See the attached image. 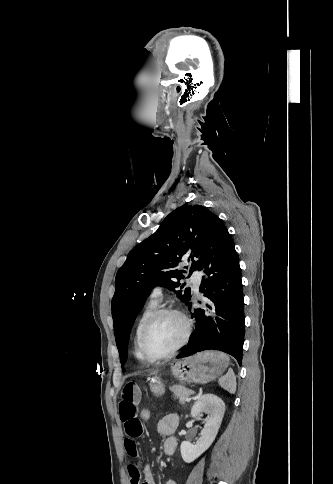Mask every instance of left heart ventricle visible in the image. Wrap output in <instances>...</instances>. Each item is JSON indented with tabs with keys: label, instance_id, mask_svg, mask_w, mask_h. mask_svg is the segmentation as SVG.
Instances as JSON below:
<instances>
[{
	"label": "left heart ventricle",
	"instance_id": "obj_1",
	"mask_svg": "<svg viewBox=\"0 0 333 484\" xmlns=\"http://www.w3.org/2000/svg\"><path fill=\"white\" fill-rule=\"evenodd\" d=\"M184 324L176 315L160 317L149 330L146 349L154 357L170 352L184 335Z\"/></svg>",
	"mask_w": 333,
	"mask_h": 484
}]
</instances>
